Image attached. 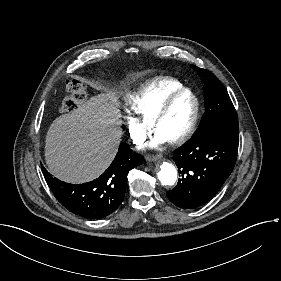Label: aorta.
Segmentation results:
<instances>
[{"label": "aorta", "instance_id": "aorta-1", "mask_svg": "<svg viewBox=\"0 0 281 281\" xmlns=\"http://www.w3.org/2000/svg\"><path fill=\"white\" fill-rule=\"evenodd\" d=\"M158 172V178L162 185L172 186L177 180V171L174 165L168 162H163Z\"/></svg>", "mask_w": 281, "mask_h": 281}]
</instances>
